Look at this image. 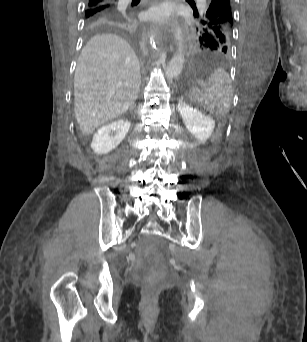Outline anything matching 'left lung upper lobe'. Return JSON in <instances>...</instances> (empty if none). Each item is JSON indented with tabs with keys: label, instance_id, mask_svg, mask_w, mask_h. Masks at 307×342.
Instances as JSON below:
<instances>
[{
	"label": "left lung upper lobe",
	"instance_id": "5c2ea615",
	"mask_svg": "<svg viewBox=\"0 0 307 342\" xmlns=\"http://www.w3.org/2000/svg\"><path fill=\"white\" fill-rule=\"evenodd\" d=\"M194 9L197 18L195 43L198 49L227 54L230 50L233 13L230 0H208L207 11L198 16L193 0H187Z\"/></svg>",
	"mask_w": 307,
	"mask_h": 342
}]
</instances>
